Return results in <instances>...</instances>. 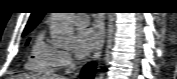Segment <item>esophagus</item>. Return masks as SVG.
I'll list each match as a JSON object with an SVG mask.
<instances>
[{"instance_id":"34e87169","label":"esophagus","mask_w":177,"mask_h":79,"mask_svg":"<svg viewBox=\"0 0 177 79\" xmlns=\"http://www.w3.org/2000/svg\"><path fill=\"white\" fill-rule=\"evenodd\" d=\"M104 42V14L100 13L98 16V42L94 49L93 60H98L100 58L104 47Z\"/></svg>"}]
</instances>
